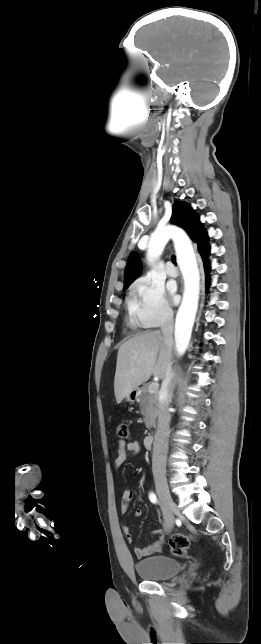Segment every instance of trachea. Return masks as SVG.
I'll return each mask as SVG.
<instances>
[{"mask_svg": "<svg viewBox=\"0 0 261 644\" xmlns=\"http://www.w3.org/2000/svg\"><path fill=\"white\" fill-rule=\"evenodd\" d=\"M172 262L176 265V259H175V256H172Z\"/></svg>", "mask_w": 261, "mask_h": 644, "instance_id": "1", "label": "trachea"}]
</instances>
